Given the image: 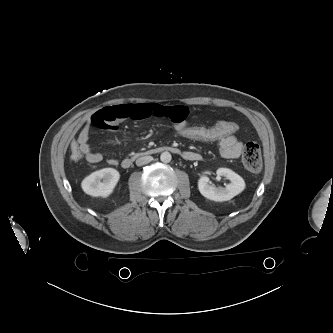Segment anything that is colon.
<instances>
[{"instance_id": "colon-1", "label": "colon", "mask_w": 333, "mask_h": 333, "mask_svg": "<svg viewBox=\"0 0 333 333\" xmlns=\"http://www.w3.org/2000/svg\"><path fill=\"white\" fill-rule=\"evenodd\" d=\"M238 126L234 122L219 121L211 126L174 125L173 132L176 136L202 142H217L237 132ZM83 157L81 148L77 142L70 145V158L78 161ZM242 162L251 172H258L262 167L261 149L258 143L248 142L242 153Z\"/></svg>"}]
</instances>
